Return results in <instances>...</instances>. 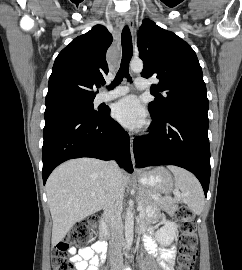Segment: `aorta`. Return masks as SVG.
I'll return each instance as SVG.
<instances>
[{
  "label": "aorta",
  "mask_w": 242,
  "mask_h": 270,
  "mask_svg": "<svg viewBox=\"0 0 242 270\" xmlns=\"http://www.w3.org/2000/svg\"><path fill=\"white\" fill-rule=\"evenodd\" d=\"M130 68L133 72L140 73L143 70V62L140 59H133L130 62ZM125 245L127 249H130L133 243L134 235V214L132 208L129 207L126 211L125 218Z\"/></svg>",
  "instance_id": "aorta-1"
}]
</instances>
